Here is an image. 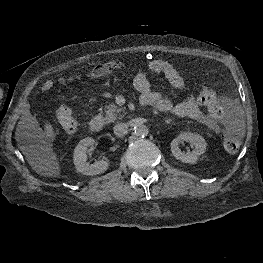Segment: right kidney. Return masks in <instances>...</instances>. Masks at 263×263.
Here are the masks:
<instances>
[{
  "label": "right kidney",
  "instance_id": "ca27d5eb",
  "mask_svg": "<svg viewBox=\"0 0 263 263\" xmlns=\"http://www.w3.org/2000/svg\"><path fill=\"white\" fill-rule=\"evenodd\" d=\"M95 140L91 137L82 139L74 150V165L77 172L84 175H98L104 173L109 164L105 160L95 161L93 164L87 163L86 150L88 147L94 146Z\"/></svg>",
  "mask_w": 263,
  "mask_h": 263
}]
</instances>
